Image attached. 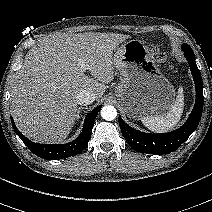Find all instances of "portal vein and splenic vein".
<instances>
[{
    "instance_id": "portal-vein-and-splenic-vein-1",
    "label": "portal vein and splenic vein",
    "mask_w": 212,
    "mask_h": 212,
    "mask_svg": "<svg viewBox=\"0 0 212 212\" xmlns=\"http://www.w3.org/2000/svg\"><path fill=\"white\" fill-rule=\"evenodd\" d=\"M81 67H82L83 69H87V68H86V65H85L84 63H81Z\"/></svg>"
}]
</instances>
